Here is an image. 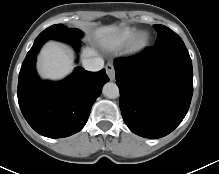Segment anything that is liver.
Wrapping results in <instances>:
<instances>
[{
	"instance_id": "liver-1",
	"label": "liver",
	"mask_w": 219,
	"mask_h": 174,
	"mask_svg": "<svg viewBox=\"0 0 219 174\" xmlns=\"http://www.w3.org/2000/svg\"><path fill=\"white\" fill-rule=\"evenodd\" d=\"M115 31L116 27L105 26L99 28L96 34L103 37ZM94 56H96V51L93 49L88 48L83 52L84 58ZM72 69V56L66 49L54 42H49L43 47L38 60V70L42 77L60 79L70 73Z\"/></svg>"
}]
</instances>
